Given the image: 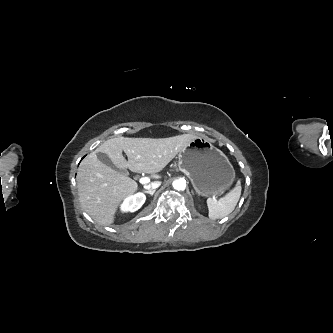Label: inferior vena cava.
Segmentation results:
<instances>
[{
    "instance_id": "obj_1",
    "label": "inferior vena cava",
    "mask_w": 333,
    "mask_h": 333,
    "mask_svg": "<svg viewBox=\"0 0 333 333\" xmlns=\"http://www.w3.org/2000/svg\"><path fill=\"white\" fill-rule=\"evenodd\" d=\"M161 185V182L159 181H154L149 185H145L144 188L146 190H155L156 188H158Z\"/></svg>"
}]
</instances>
